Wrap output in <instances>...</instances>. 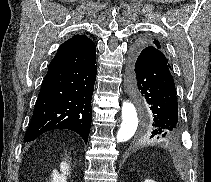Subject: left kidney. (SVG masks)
Instances as JSON below:
<instances>
[{
    "mask_svg": "<svg viewBox=\"0 0 211 182\" xmlns=\"http://www.w3.org/2000/svg\"><path fill=\"white\" fill-rule=\"evenodd\" d=\"M144 182H155V181L151 179H146Z\"/></svg>",
    "mask_w": 211,
    "mask_h": 182,
    "instance_id": "obj_1",
    "label": "left kidney"
}]
</instances>
